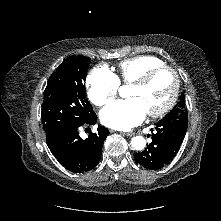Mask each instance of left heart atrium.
<instances>
[{
  "label": "left heart atrium",
  "mask_w": 221,
  "mask_h": 221,
  "mask_svg": "<svg viewBox=\"0 0 221 221\" xmlns=\"http://www.w3.org/2000/svg\"><path fill=\"white\" fill-rule=\"evenodd\" d=\"M147 114L140 99L132 97L110 103L100 113L101 122L110 128L128 130L140 124Z\"/></svg>",
  "instance_id": "left-heart-atrium-1"
}]
</instances>
